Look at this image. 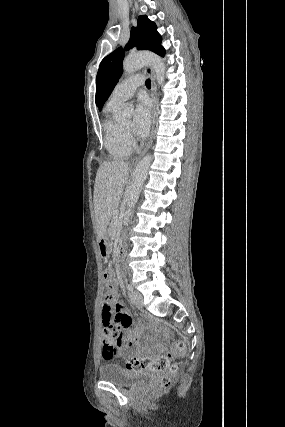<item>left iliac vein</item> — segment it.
Returning <instances> with one entry per match:
<instances>
[{
    "mask_svg": "<svg viewBox=\"0 0 285 427\" xmlns=\"http://www.w3.org/2000/svg\"><path fill=\"white\" fill-rule=\"evenodd\" d=\"M132 301L133 304L137 307V308H142L143 306V297L139 292L134 291L132 293Z\"/></svg>",
    "mask_w": 285,
    "mask_h": 427,
    "instance_id": "left-iliac-vein-1",
    "label": "left iliac vein"
}]
</instances>
